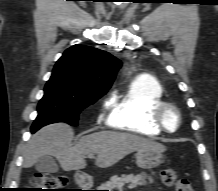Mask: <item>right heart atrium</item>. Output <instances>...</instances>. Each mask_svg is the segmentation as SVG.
<instances>
[{"mask_svg": "<svg viewBox=\"0 0 218 191\" xmlns=\"http://www.w3.org/2000/svg\"><path fill=\"white\" fill-rule=\"evenodd\" d=\"M112 105H113V99L110 98V99L105 101L104 109L109 110V109H111ZM99 118H100V120H102L104 118V114H101Z\"/></svg>", "mask_w": 218, "mask_h": 191, "instance_id": "right-heart-atrium-1", "label": "right heart atrium"}]
</instances>
